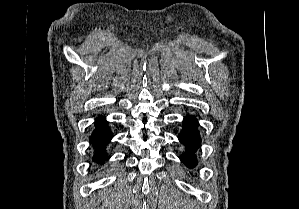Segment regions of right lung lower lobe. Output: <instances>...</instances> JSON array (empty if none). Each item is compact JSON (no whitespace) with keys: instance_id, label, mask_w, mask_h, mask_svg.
<instances>
[{"instance_id":"98d812e1","label":"right lung lower lobe","mask_w":299,"mask_h":209,"mask_svg":"<svg viewBox=\"0 0 299 209\" xmlns=\"http://www.w3.org/2000/svg\"><path fill=\"white\" fill-rule=\"evenodd\" d=\"M94 125L95 128L90 137V142L94 149L92 160L94 163L102 165L109 159V155L106 153L105 149L112 138V133L105 122V118L101 115L98 116Z\"/></svg>"}]
</instances>
